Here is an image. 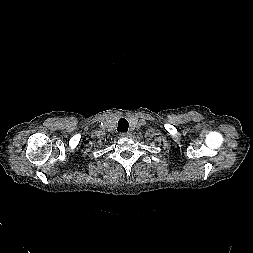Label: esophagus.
Instances as JSON below:
<instances>
[{
  "mask_svg": "<svg viewBox=\"0 0 253 253\" xmlns=\"http://www.w3.org/2000/svg\"><path fill=\"white\" fill-rule=\"evenodd\" d=\"M120 136L128 138V137L132 136V133L131 132H124V133H121Z\"/></svg>",
  "mask_w": 253,
  "mask_h": 253,
  "instance_id": "34e87169",
  "label": "esophagus"
}]
</instances>
